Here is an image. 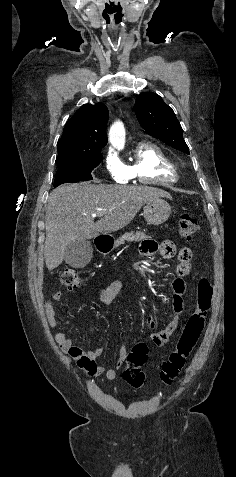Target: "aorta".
<instances>
[{
	"label": "aorta",
	"instance_id": "aorta-1",
	"mask_svg": "<svg viewBox=\"0 0 236 477\" xmlns=\"http://www.w3.org/2000/svg\"><path fill=\"white\" fill-rule=\"evenodd\" d=\"M109 141L118 148H123L125 144V129L120 121L115 122L109 132Z\"/></svg>",
	"mask_w": 236,
	"mask_h": 477
}]
</instances>
